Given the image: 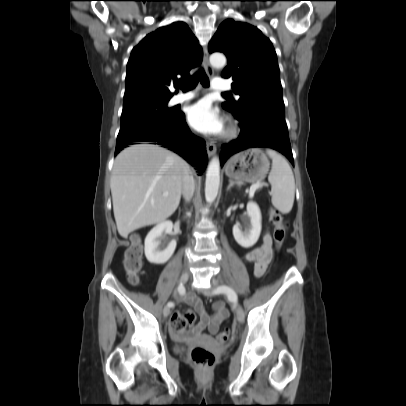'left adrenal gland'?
Here are the masks:
<instances>
[{
	"label": "left adrenal gland",
	"instance_id": "obj_1",
	"mask_svg": "<svg viewBox=\"0 0 406 406\" xmlns=\"http://www.w3.org/2000/svg\"><path fill=\"white\" fill-rule=\"evenodd\" d=\"M234 185H235V183L232 180H229V185L227 187V190H229Z\"/></svg>",
	"mask_w": 406,
	"mask_h": 406
}]
</instances>
